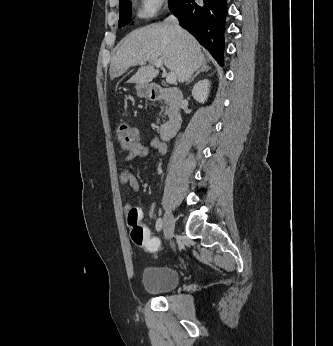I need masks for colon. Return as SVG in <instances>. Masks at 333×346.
I'll use <instances>...</instances> for the list:
<instances>
[{
  "instance_id": "1",
  "label": "colon",
  "mask_w": 333,
  "mask_h": 346,
  "mask_svg": "<svg viewBox=\"0 0 333 346\" xmlns=\"http://www.w3.org/2000/svg\"><path fill=\"white\" fill-rule=\"evenodd\" d=\"M117 140L124 150L131 151L138 144L139 135L137 130L127 123L121 124L116 132ZM141 211L131 207L127 214V224L130 227V238L132 242L144 247L146 254H158L161 241L158 235H151L152 227L143 226L140 223Z\"/></svg>"
}]
</instances>
